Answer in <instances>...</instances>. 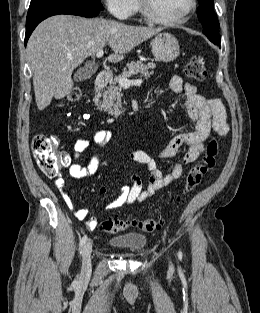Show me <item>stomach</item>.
<instances>
[{"label":"stomach","mask_w":260,"mask_h":313,"mask_svg":"<svg viewBox=\"0 0 260 313\" xmlns=\"http://www.w3.org/2000/svg\"><path fill=\"white\" fill-rule=\"evenodd\" d=\"M154 57L162 62L174 61L180 54L177 39L170 33H159L151 43Z\"/></svg>","instance_id":"0dacf381"}]
</instances>
